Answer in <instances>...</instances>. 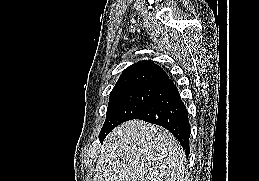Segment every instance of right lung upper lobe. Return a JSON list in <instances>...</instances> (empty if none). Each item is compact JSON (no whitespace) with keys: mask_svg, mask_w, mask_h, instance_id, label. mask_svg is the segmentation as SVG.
<instances>
[{"mask_svg":"<svg viewBox=\"0 0 259 181\" xmlns=\"http://www.w3.org/2000/svg\"><path fill=\"white\" fill-rule=\"evenodd\" d=\"M168 75L150 60L139 61L127 67L121 74L114 88L131 85H161Z\"/></svg>","mask_w":259,"mask_h":181,"instance_id":"obj_1","label":"right lung upper lobe"}]
</instances>
